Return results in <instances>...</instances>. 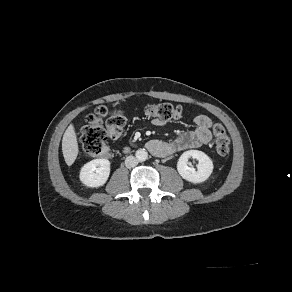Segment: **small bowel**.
Returning <instances> with one entry per match:
<instances>
[{"label": "small bowel", "mask_w": 292, "mask_h": 292, "mask_svg": "<svg viewBox=\"0 0 292 292\" xmlns=\"http://www.w3.org/2000/svg\"><path fill=\"white\" fill-rule=\"evenodd\" d=\"M153 125L163 126L165 121L153 119ZM195 128L181 133L171 141L152 140L148 144L149 150L156 156L167 157L187 149L198 148L207 145L212 140V120L200 114L194 118Z\"/></svg>", "instance_id": "small-bowel-1"}]
</instances>
